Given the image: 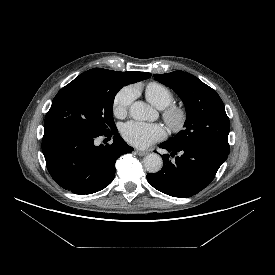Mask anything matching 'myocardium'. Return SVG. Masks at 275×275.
Here are the masks:
<instances>
[{
  "label": "myocardium",
  "instance_id": "myocardium-1",
  "mask_svg": "<svg viewBox=\"0 0 275 275\" xmlns=\"http://www.w3.org/2000/svg\"><path fill=\"white\" fill-rule=\"evenodd\" d=\"M163 118L172 130H178L186 121L187 111L178 104H170L163 111Z\"/></svg>",
  "mask_w": 275,
  "mask_h": 275
}]
</instances>
